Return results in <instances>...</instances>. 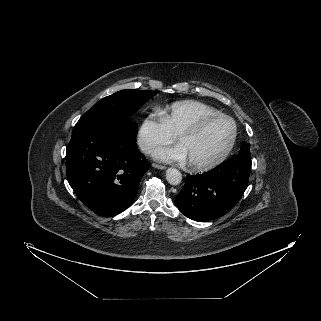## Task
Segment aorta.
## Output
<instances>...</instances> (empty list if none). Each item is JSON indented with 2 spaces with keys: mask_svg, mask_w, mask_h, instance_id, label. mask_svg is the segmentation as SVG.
<instances>
[{
  "mask_svg": "<svg viewBox=\"0 0 321 321\" xmlns=\"http://www.w3.org/2000/svg\"><path fill=\"white\" fill-rule=\"evenodd\" d=\"M166 179L171 185H179L182 181V174L175 168H168L166 171Z\"/></svg>",
  "mask_w": 321,
  "mask_h": 321,
  "instance_id": "762f6f07",
  "label": "aorta"
}]
</instances>
